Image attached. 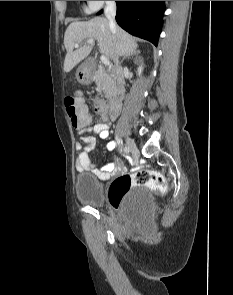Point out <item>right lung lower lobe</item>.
<instances>
[{"label": "right lung lower lobe", "instance_id": "obj_1", "mask_svg": "<svg viewBox=\"0 0 233 295\" xmlns=\"http://www.w3.org/2000/svg\"><path fill=\"white\" fill-rule=\"evenodd\" d=\"M117 23L134 36L157 46L165 10L164 1H116ZM102 10L98 12L101 14Z\"/></svg>", "mask_w": 233, "mask_h": 295}]
</instances>
